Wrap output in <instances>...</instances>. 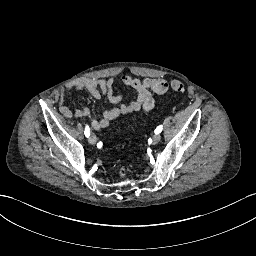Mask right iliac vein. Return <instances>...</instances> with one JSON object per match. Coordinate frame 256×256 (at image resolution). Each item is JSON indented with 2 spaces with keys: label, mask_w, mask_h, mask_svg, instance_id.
I'll use <instances>...</instances> for the list:
<instances>
[{
  "label": "right iliac vein",
  "mask_w": 256,
  "mask_h": 256,
  "mask_svg": "<svg viewBox=\"0 0 256 256\" xmlns=\"http://www.w3.org/2000/svg\"><path fill=\"white\" fill-rule=\"evenodd\" d=\"M89 143L91 144V145H95L96 144V142H97V138H96V135L95 134H91L90 135V137H89Z\"/></svg>",
  "instance_id": "right-iliac-vein-1"
}]
</instances>
